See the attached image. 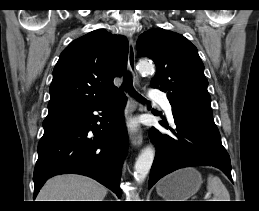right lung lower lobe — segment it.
Here are the masks:
<instances>
[{
  "mask_svg": "<svg viewBox=\"0 0 259 211\" xmlns=\"http://www.w3.org/2000/svg\"><path fill=\"white\" fill-rule=\"evenodd\" d=\"M125 103V95L119 94L85 110L46 117L34 170V199L48 178L64 173L89 176L121 197V164L128 150ZM94 111H101V117Z\"/></svg>",
  "mask_w": 259,
  "mask_h": 211,
  "instance_id": "98d812e1",
  "label": "right lung lower lobe"
}]
</instances>
